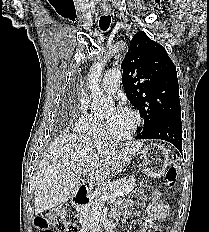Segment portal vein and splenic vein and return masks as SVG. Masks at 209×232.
Here are the masks:
<instances>
[{
    "mask_svg": "<svg viewBox=\"0 0 209 232\" xmlns=\"http://www.w3.org/2000/svg\"><path fill=\"white\" fill-rule=\"evenodd\" d=\"M94 165V164H92ZM90 166H85L83 169V172H86L87 169H89ZM99 192V197L101 199V202L107 201V200H115L116 198H118L119 196L123 195V192L121 191H115L113 193H106V192Z\"/></svg>",
    "mask_w": 209,
    "mask_h": 232,
    "instance_id": "1",
    "label": "portal vein and splenic vein"
}]
</instances>
